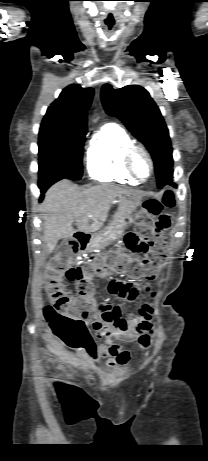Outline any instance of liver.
<instances>
[{
  "label": "liver",
  "mask_w": 208,
  "mask_h": 461,
  "mask_svg": "<svg viewBox=\"0 0 208 461\" xmlns=\"http://www.w3.org/2000/svg\"><path fill=\"white\" fill-rule=\"evenodd\" d=\"M130 194L134 192L110 184L89 188H81L68 180L54 184L42 205L43 241L48 252H53L60 239L71 238L77 231L90 233L101 229L114 199ZM73 222L77 230L72 227Z\"/></svg>",
  "instance_id": "1"
}]
</instances>
